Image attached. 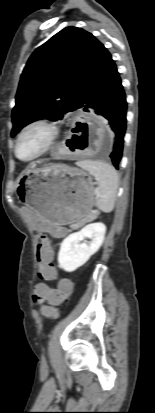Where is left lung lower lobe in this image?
Returning <instances> with one entry per match:
<instances>
[{
	"label": "left lung lower lobe",
	"instance_id": "0a47b994",
	"mask_svg": "<svg viewBox=\"0 0 155 413\" xmlns=\"http://www.w3.org/2000/svg\"><path fill=\"white\" fill-rule=\"evenodd\" d=\"M80 108L87 112L91 108L96 114L105 118L115 132L110 159L118 169L126 130L127 102L117 67L109 52L92 79Z\"/></svg>",
	"mask_w": 155,
	"mask_h": 413
}]
</instances>
